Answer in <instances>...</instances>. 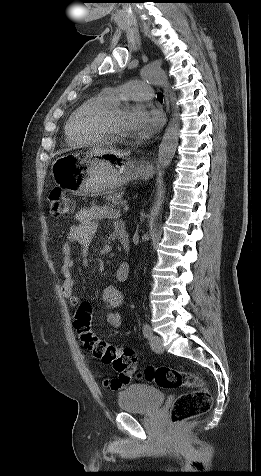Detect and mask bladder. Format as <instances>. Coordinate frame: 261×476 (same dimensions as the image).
Instances as JSON below:
<instances>
[{
    "mask_svg": "<svg viewBox=\"0 0 261 476\" xmlns=\"http://www.w3.org/2000/svg\"><path fill=\"white\" fill-rule=\"evenodd\" d=\"M165 394L147 384H133L118 394L117 404L121 411L133 414H151L160 408Z\"/></svg>",
    "mask_w": 261,
    "mask_h": 476,
    "instance_id": "1",
    "label": "bladder"
}]
</instances>
